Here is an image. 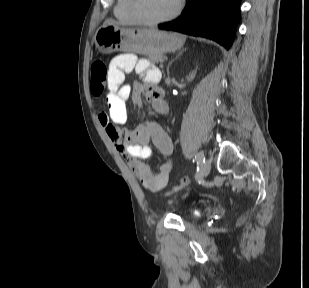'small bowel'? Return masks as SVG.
Here are the masks:
<instances>
[{
    "instance_id": "obj_1",
    "label": "small bowel",
    "mask_w": 309,
    "mask_h": 288,
    "mask_svg": "<svg viewBox=\"0 0 309 288\" xmlns=\"http://www.w3.org/2000/svg\"><path fill=\"white\" fill-rule=\"evenodd\" d=\"M135 70L143 78L132 87L125 84V75ZM159 72L146 59H138L134 54H121L114 57L108 69L109 93L106 96L108 112L100 111L98 118L114 147L127 160L132 171L148 191L156 193L164 189L172 170V161L159 164L157 171L144 161L152 155L149 143L159 150L161 155L169 157L173 152V143L169 134L157 123L145 118L132 130L122 127L127 119L126 102L129 98L142 109V96L151 104L153 110L161 115L169 112L158 85Z\"/></svg>"
}]
</instances>
